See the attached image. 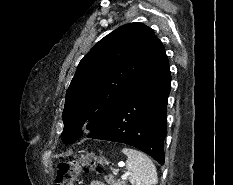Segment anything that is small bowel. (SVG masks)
Instances as JSON below:
<instances>
[{
    "label": "small bowel",
    "instance_id": "small-bowel-1",
    "mask_svg": "<svg viewBox=\"0 0 233 185\" xmlns=\"http://www.w3.org/2000/svg\"><path fill=\"white\" fill-rule=\"evenodd\" d=\"M89 185H106L101 181H92Z\"/></svg>",
    "mask_w": 233,
    "mask_h": 185
}]
</instances>
